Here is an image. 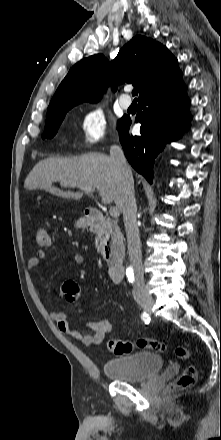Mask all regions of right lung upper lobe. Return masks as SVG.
<instances>
[{
	"mask_svg": "<svg viewBox=\"0 0 221 440\" xmlns=\"http://www.w3.org/2000/svg\"><path fill=\"white\" fill-rule=\"evenodd\" d=\"M182 78L177 59L162 44L142 35L133 37L109 62L97 54L82 59L68 72L48 110L97 102L109 84L128 82L139 87V99L160 92Z\"/></svg>",
	"mask_w": 221,
	"mask_h": 440,
	"instance_id": "cb5924a9",
	"label": "right lung upper lobe"
}]
</instances>
